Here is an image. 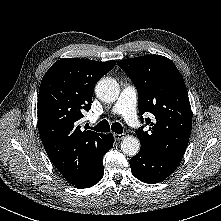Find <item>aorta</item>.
I'll list each match as a JSON object with an SVG mask.
<instances>
[{"label": "aorta", "mask_w": 221, "mask_h": 221, "mask_svg": "<svg viewBox=\"0 0 221 221\" xmlns=\"http://www.w3.org/2000/svg\"><path fill=\"white\" fill-rule=\"evenodd\" d=\"M98 99L106 103L117 100L120 89L118 82L113 78H103L95 86ZM121 149L128 156H135L140 150V142L134 136L125 137L121 142Z\"/></svg>", "instance_id": "762f6f07"}]
</instances>
